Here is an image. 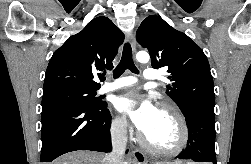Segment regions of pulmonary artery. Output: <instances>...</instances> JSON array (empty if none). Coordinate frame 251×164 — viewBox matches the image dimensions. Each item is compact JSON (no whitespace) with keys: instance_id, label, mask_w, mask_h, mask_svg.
<instances>
[{"instance_id":"1","label":"pulmonary artery","mask_w":251,"mask_h":164,"mask_svg":"<svg viewBox=\"0 0 251 164\" xmlns=\"http://www.w3.org/2000/svg\"><path fill=\"white\" fill-rule=\"evenodd\" d=\"M159 73L152 68H147L144 70L142 78L146 81H155L159 79ZM137 82V78L133 76H125L118 78L112 82H107L103 84L100 89H99V94H104L108 93L114 90H117L119 88L125 87V86H130L133 85Z\"/></svg>"}]
</instances>
